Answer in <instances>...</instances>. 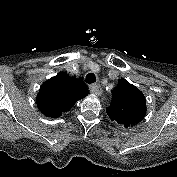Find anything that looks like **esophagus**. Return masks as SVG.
<instances>
[{
    "label": "esophagus",
    "instance_id": "1",
    "mask_svg": "<svg viewBox=\"0 0 177 177\" xmlns=\"http://www.w3.org/2000/svg\"><path fill=\"white\" fill-rule=\"evenodd\" d=\"M89 90L92 94L100 96L102 94V89L99 85L97 84H91L89 86Z\"/></svg>",
    "mask_w": 177,
    "mask_h": 177
}]
</instances>
